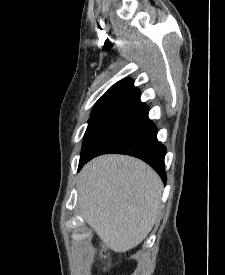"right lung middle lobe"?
I'll use <instances>...</instances> for the list:
<instances>
[{
    "label": "right lung middle lobe",
    "mask_w": 225,
    "mask_h": 275,
    "mask_svg": "<svg viewBox=\"0 0 225 275\" xmlns=\"http://www.w3.org/2000/svg\"><path fill=\"white\" fill-rule=\"evenodd\" d=\"M125 118L126 117L122 115H103L89 119V124L84 136L79 167L92 153L98 143Z\"/></svg>",
    "instance_id": "right-lung-middle-lobe-1"
}]
</instances>
